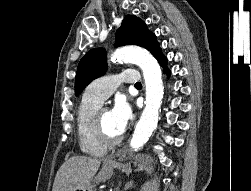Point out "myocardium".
Masks as SVG:
<instances>
[{
  "label": "myocardium",
  "instance_id": "obj_1",
  "mask_svg": "<svg viewBox=\"0 0 251 191\" xmlns=\"http://www.w3.org/2000/svg\"><path fill=\"white\" fill-rule=\"evenodd\" d=\"M106 110L103 107H99L94 114V127H95V132L97 135V138L99 139V141L107 146V147H111V146H115L117 144H119L122 140V136L121 135H117V136H111L109 135L106 130L104 129V126L102 124V121L100 119V113L102 111Z\"/></svg>",
  "mask_w": 251,
  "mask_h": 191
}]
</instances>
